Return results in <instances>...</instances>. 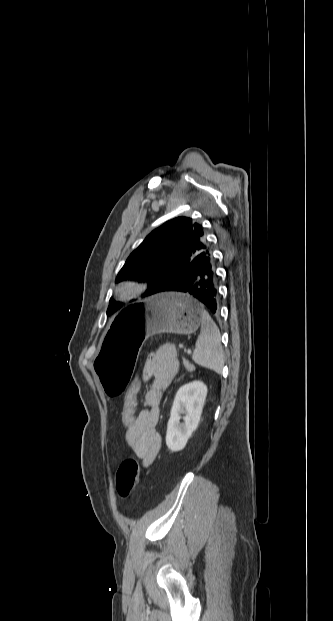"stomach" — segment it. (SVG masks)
Instances as JSON below:
<instances>
[{
  "label": "stomach",
  "instance_id": "stomach-1",
  "mask_svg": "<svg viewBox=\"0 0 333 621\" xmlns=\"http://www.w3.org/2000/svg\"><path fill=\"white\" fill-rule=\"evenodd\" d=\"M205 310L186 294L169 292L131 305L113 318L104 333L96 373L109 402H120L134 376L144 339L156 333L191 334Z\"/></svg>",
  "mask_w": 333,
  "mask_h": 621
}]
</instances>
